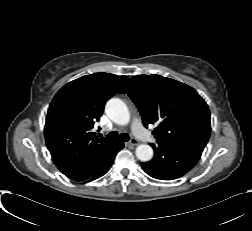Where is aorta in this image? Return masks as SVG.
<instances>
[{"label": "aorta", "instance_id": "1", "mask_svg": "<svg viewBox=\"0 0 252 231\" xmlns=\"http://www.w3.org/2000/svg\"><path fill=\"white\" fill-rule=\"evenodd\" d=\"M107 116L118 125H127L130 121V113L126 104L118 98L110 99L105 107ZM136 157L142 161H150L153 157V149L147 144H140L135 151Z\"/></svg>", "mask_w": 252, "mask_h": 231}]
</instances>
